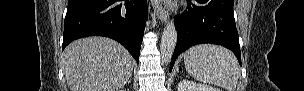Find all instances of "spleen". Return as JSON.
<instances>
[{
	"label": "spleen",
	"mask_w": 304,
	"mask_h": 91,
	"mask_svg": "<svg viewBox=\"0 0 304 91\" xmlns=\"http://www.w3.org/2000/svg\"><path fill=\"white\" fill-rule=\"evenodd\" d=\"M184 64L197 81L235 91L239 78V65L234 54L226 48L201 44L187 50Z\"/></svg>",
	"instance_id": "spleen-1"
}]
</instances>
